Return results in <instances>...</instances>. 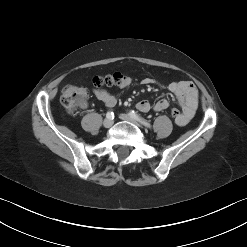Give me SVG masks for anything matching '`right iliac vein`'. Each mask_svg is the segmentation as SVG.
Here are the masks:
<instances>
[{
    "instance_id": "1",
    "label": "right iliac vein",
    "mask_w": 247,
    "mask_h": 247,
    "mask_svg": "<svg viewBox=\"0 0 247 247\" xmlns=\"http://www.w3.org/2000/svg\"><path fill=\"white\" fill-rule=\"evenodd\" d=\"M113 120L112 119H105L103 122V125L105 128H110L113 125Z\"/></svg>"
}]
</instances>
